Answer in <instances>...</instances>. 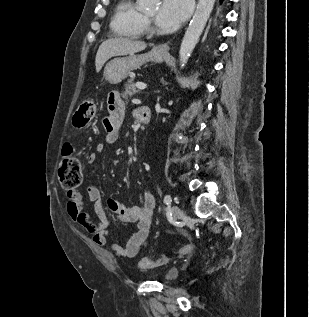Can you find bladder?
I'll use <instances>...</instances> for the list:
<instances>
[{"label":"bladder","mask_w":309,"mask_h":317,"mask_svg":"<svg viewBox=\"0 0 309 317\" xmlns=\"http://www.w3.org/2000/svg\"><path fill=\"white\" fill-rule=\"evenodd\" d=\"M179 276V270L177 268H169L163 274V280L167 282L174 281Z\"/></svg>","instance_id":"bladder-1"}]
</instances>
